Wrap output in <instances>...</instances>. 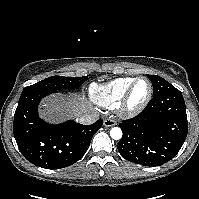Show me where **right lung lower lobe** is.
<instances>
[{
	"label": "right lung lower lobe",
	"mask_w": 199,
	"mask_h": 199,
	"mask_svg": "<svg viewBox=\"0 0 199 199\" xmlns=\"http://www.w3.org/2000/svg\"><path fill=\"white\" fill-rule=\"evenodd\" d=\"M51 93L31 90L21 94L14 115V137L23 156L34 165L59 169L77 162L86 153L103 120L82 125L73 120L51 125L39 118L37 107Z\"/></svg>",
	"instance_id": "1"
}]
</instances>
